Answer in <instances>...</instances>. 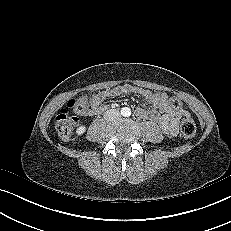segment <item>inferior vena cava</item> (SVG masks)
<instances>
[{
  "label": "inferior vena cava",
  "instance_id": "inferior-vena-cava-1",
  "mask_svg": "<svg viewBox=\"0 0 231 231\" xmlns=\"http://www.w3.org/2000/svg\"><path fill=\"white\" fill-rule=\"evenodd\" d=\"M120 116V112L117 109H110L104 113V118L107 120H112L118 118Z\"/></svg>",
  "mask_w": 231,
  "mask_h": 231
}]
</instances>
